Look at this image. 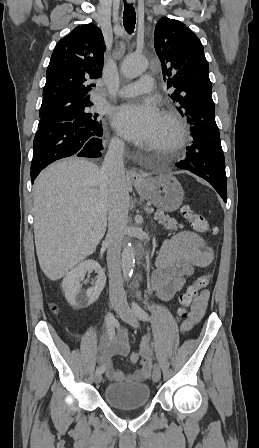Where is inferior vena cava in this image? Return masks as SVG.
<instances>
[{
    "label": "inferior vena cava",
    "instance_id": "602c4592",
    "mask_svg": "<svg viewBox=\"0 0 259 448\" xmlns=\"http://www.w3.org/2000/svg\"><path fill=\"white\" fill-rule=\"evenodd\" d=\"M125 144L119 138L111 140L102 168L99 172L100 188L108 196L107 266L109 270L110 302L126 306L127 296L121 274V248L127 230L129 196L126 186L123 156Z\"/></svg>",
    "mask_w": 259,
    "mask_h": 448
}]
</instances>
